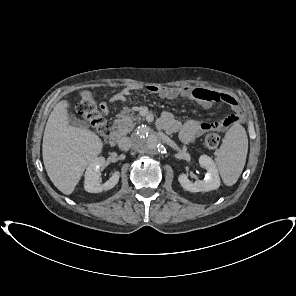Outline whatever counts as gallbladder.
<instances>
[{
    "mask_svg": "<svg viewBox=\"0 0 296 296\" xmlns=\"http://www.w3.org/2000/svg\"><path fill=\"white\" fill-rule=\"evenodd\" d=\"M69 124L75 127L86 128L88 127L87 123L83 120L78 119L77 117L71 115L68 120Z\"/></svg>",
    "mask_w": 296,
    "mask_h": 296,
    "instance_id": "bac80fb5",
    "label": "gallbladder"
}]
</instances>
